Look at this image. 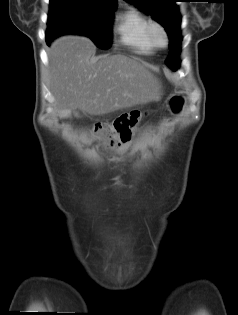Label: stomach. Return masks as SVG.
Returning <instances> with one entry per match:
<instances>
[{
    "instance_id": "1",
    "label": "stomach",
    "mask_w": 238,
    "mask_h": 315,
    "mask_svg": "<svg viewBox=\"0 0 238 315\" xmlns=\"http://www.w3.org/2000/svg\"><path fill=\"white\" fill-rule=\"evenodd\" d=\"M184 105V94H169L167 102H165V109L167 112H180Z\"/></svg>"
}]
</instances>
